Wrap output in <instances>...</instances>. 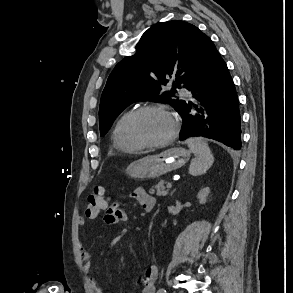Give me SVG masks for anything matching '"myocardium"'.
Masks as SVG:
<instances>
[{
    "label": "myocardium",
    "mask_w": 293,
    "mask_h": 293,
    "mask_svg": "<svg viewBox=\"0 0 293 293\" xmlns=\"http://www.w3.org/2000/svg\"><path fill=\"white\" fill-rule=\"evenodd\" d=\"M151 111H160L165 113L172 121V131L168 137L157 142H148L143 140L136 132V123L141 115ZM179 132V121L176 115L166 106L160 104H149L135 109L129 116L126 124V135L130 142L139 145L142 148H160L171 143Z\"/></svg>",
    "instance_id": "myocardium-1"
}]
</instances>
